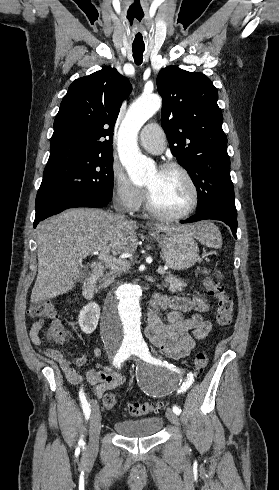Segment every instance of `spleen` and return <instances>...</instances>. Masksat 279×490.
Segmentation results:
<instances>
[{
	"instance_id": "spleen-1",
	"label": "spleen",
	"mask_w": 279,
	"mask_h": 490,
	"mask_svg": "<svg viewBox=\"0 0 279 490\" xmlns=\"http://www.w3.org/2000/svg\"><path fill=\"white\" fill-rule=\"evenodd\" d=\"M198 240L208 246V248H215V250H219L222 248V238L220 234L219 228L214 226V224H210V222H206L205 232L198 236Z\"/></svg>"
}]
</instances>
